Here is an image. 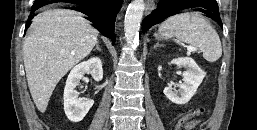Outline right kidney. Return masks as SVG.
Wrapping results in <instances>:
<instances>
[{
	"mask_svg": "<svg viewBox=\"0 0 257 130\" xmlns=\"http://www.w3.org/2000/svg\"><path fill=\"white\" fill-rule=\"evenodd\" d=\"M89 72L95 81L99 82L102 80V62L98 57L90 58L76 65L71 70L66 81L64 88V111L67 118L73 123L82 121L94 104V100L90 98H78L76 90L84 74Z\"/></svg>",
	"mask_w": 257,
	"mask_h": 130,
	"instance_id": "1",
	"label": "right kidney"
}]
</instances>
